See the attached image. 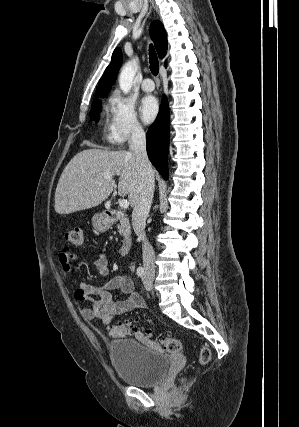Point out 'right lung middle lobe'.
I'll return each mask as SVG.
<instances>
[{
    "mask_svg": "<svg viewBox=\"0 0 299 427\" xmlns=\"http://www.w3.org/2000/svg\"><path fill=\"white\" fill-rule=\"evenodd\" d=\"M103 97H105V96H103ZM100 103H101V100L99 99V97L95 98L93 100L92 108H91V111H90L91 120H93V121H97L98 120V115H99V113L101 111Z\"/></svg>",
    "mask_w": 299,
    "mask_h": 427,
    "instance_id": "obj_1",
    "label": "right lung middle lobe"
}]
</instances>
